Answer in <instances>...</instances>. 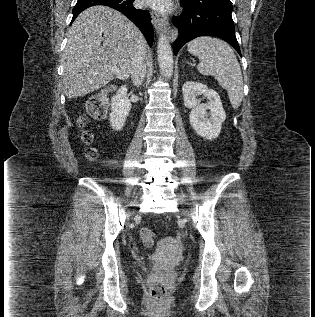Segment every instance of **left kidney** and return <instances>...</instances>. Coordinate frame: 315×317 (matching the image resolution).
<instances>
[{
	"label": "left kidney",
	"instance_id": "left-kidney-1",
	"mask_svg": "<svg viewBox=\"0 0 315 317\" xmlns=\"http://www.w3.org/2000/svg\"><path fill=\"white\" fill-rule=\"evenodd\" d=\"M182 91L184 105L191 109L189 121L195 132L209 140L217 138L226 119L218 93L193 81L184 83ZM198 95H204L209 101L205 105L199 104L196 98ZM207 110H210V117H207Z\"/></svg>",
	"mask_w": 315,
	"mask_h": 317
}]
</instances>
